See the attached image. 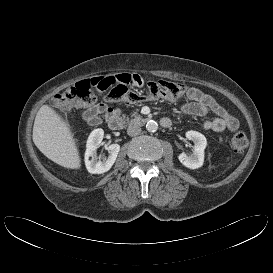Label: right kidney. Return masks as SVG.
Segmentation results:
<instances>
[{
    "label": "right kidney",
    "mask_w": 273,
    "mask_h": 273,
    "mask_svg": "<svg viewBox=\"0 0 273 273\" xmlns=\"http://www.w3.org/2000/svg\"><path fill=\"white\" fill-rule=\"evenodd\" d=\"M104 136V131L101 128L95 129L88 137L85 152V165L89 173L103 174L111 169L116 161L117 155L120 151L119 144H111L108 146L109 156L99 160L97 156V149L101 144Z\"/></svg>",
    "instance_id": "obj_1"
}]
</instances>
